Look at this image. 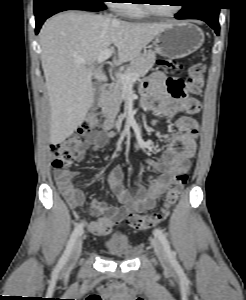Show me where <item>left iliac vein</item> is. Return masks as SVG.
I'll list each match as a JSON object with an SVG mask.
<instances>
[{
    "label": "left iliac vein",
    "instance_id": "left-iliac-vein-1",
    "mask_svg": "<svg viewBox=\"0 0 246 300\" xmlns=\"http://www.w3.org/2000/svg\"><path fill=\"white\" fill-rule=\"evenodd\" d=\"M151 244L154 247L155 253L162 265L165 267H170L169 257L162 244L156 238L151 239Z\"/></svg>",
    "mask_w": 246,
    "mask_h": 300
}]
</instances>
